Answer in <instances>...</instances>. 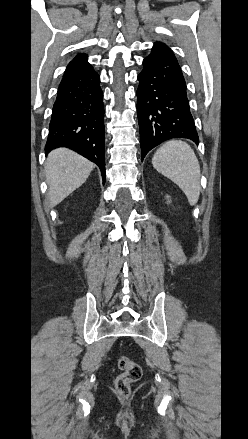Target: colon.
Here are the masks:
<instances>
[{
	"instance_id": "5ec220e1",
	"label": "colon",
	"mask_w": 248,
	"mask_h": 439,
	"mask_svg": "<svg viewBox=\"0 0 248 439\" xmlns=\"http://www.w3.org/2000/svg\"><path fill=\"white\" fill-rule=\"evenodd\" d=\"M118 367L121 370V374L116 378V390L120 397L128 398L131 385L142 376V368L139 364L124 356L118 359Z\"/></svg>"
}]
</instances>
